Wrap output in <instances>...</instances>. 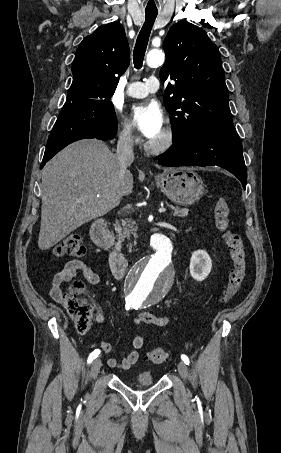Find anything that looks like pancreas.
<instances>
[{
	"mask_svg": "<svg viewBox=\"0 0 281 453\" xmlns=\"http://www.w3.org/2000/svg\"><path fill=\"white\" fill-rule=\"evenodd\" d=\"M169 206L174 210L173 216H187L188 214V208H175L172 204H169ZM134 224H136V222L135 220H132V218H125V220H121V222L116 220L114 224L117 233L116 237H118V239H128L129 241L130 235H133L134 239H137V227H134Z\"/></svg>",
	"mask_w": 281,
	"mask_h": 453,
	"instance_id": "pancreas-1",
	"label": "pancreas"
}]
</instances>
